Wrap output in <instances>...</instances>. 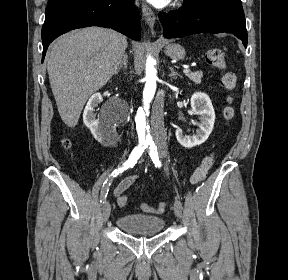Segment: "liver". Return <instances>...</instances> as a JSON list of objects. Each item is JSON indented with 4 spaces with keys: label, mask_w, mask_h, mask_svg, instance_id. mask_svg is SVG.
<instances>
[{
    "label": "liver",
    "mask_w": 288,
    "mask_h": 280,
    "mask_svg": "<svg viewBox=\"0 0 288 280\" xmlns=\"http://www.w3.org/2000/svg\"><path fill=\"white\" fill-rule=\"evenodd\" d=\"M126 47L122 34L101 27L72 31L50 46L49 81L67 126L77 125L87 99L114 75Z\"/></svg>",
    "instance_id": "obj_1"
}]
</instances>
